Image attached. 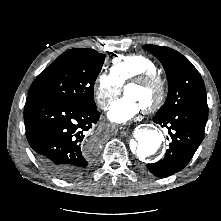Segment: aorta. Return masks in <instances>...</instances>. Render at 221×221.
<instances>
[{"mask_svg":"<svg viewBox=\"0 0 221 221\" xmlns=\"http://www.w3.org/2000/svg\"><path fill=\"white\" fill-rule=\"evenodd\" d=\"M136 146L132 149L140 159L154 154L161 146L162 136L157 130L140 129L135 132Z\"/></svg>","mask_w":221,"mask_h":221,"instance_id":"obj_1","label":"aorta"}]
</instances>
